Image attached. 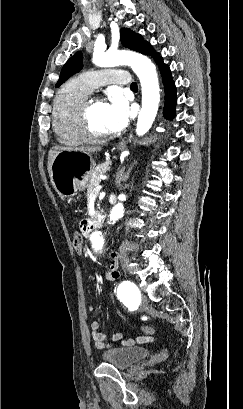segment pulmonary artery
<instances>
[{
	"label": "pulmonary artery",
	"instance_id": "obj_1",
	"mask_svg": "<svg viewBox=\"0 0 243 409\" xmlns=\"http://www.w3.org/2000/svg\"><path fill=\"white\" fill-rule=\"evenodd\" d=\"M81 80L92 91L95 88L107 84L128 85L130 78L127 72L116 69H105L99 71H86L80 74Z\"/></svg>",
	"mask_w": 243,
	"mask_h": 409
}]
</instances>
